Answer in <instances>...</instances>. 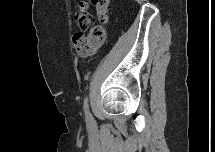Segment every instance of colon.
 <instances>
[{"label": "colon", "instance_id": "1", "mask_svg": "<svg viewBox=\"0 0 215 152\" xmlns=\"http://www.w3.org/2000/svg\"><path fill=\"white\" fill-rule=\"evenodd\" d=\"M90 6H94L99 23L94 24ZM75 19L81 29H88V34H75L73 45L76 52L87 57L96 52L105 42L106 24L109 19V0L82 1L75 13Z\"/></svg>", "mask_w": 215, "mask_h": 152}]
</instances>
